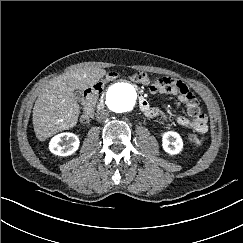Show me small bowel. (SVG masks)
<instances>
[{
	"mask_svg": "<svg viewBox=\"0 0 243 243\" xmlns=\"http://www.w3.org/2000/svg\"><path fill=\"white\" fill-rule=\"evenodd\" d=\"M162 83L157 85H151L149 87L152 93L158 94H176L180 102L184 103L187 107V113L190 118H187L183 115L176 116V122L185 128H189L194 132L203 135L208 131V119L203 113L199 102L188 88V86L180 80L171 78V77H161ZM150 118H164L165 114L156 107H150V111L145 113ZM200 142L198 145H201L204 141L200 137Z\"/></svg>",
	"mask_w": 243,
	"mask_h": 243,
	"instance_id": "obj_1",
	"label": "small bowel"
}]
</instances>
